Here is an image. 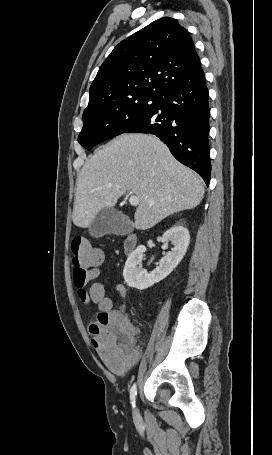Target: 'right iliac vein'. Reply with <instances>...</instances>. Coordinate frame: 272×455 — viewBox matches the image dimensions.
Listing matches in <instances>:
<instances>
[{
	"instance_id": "obj_1",
	"label": "right iliac vein",
	"mask_w": 272,
	"mask_h": 455,
	"mask_svg": "<svg viewBox=\"0 0 272 455\" xmlns=\"http://www.w3.org/2000/svg\"><path fill=\"white\" fill-rule=\"evenodd\" d=\"M135 415L137 414V410L134 411Z\"/></svg>"
}]
</instances>
